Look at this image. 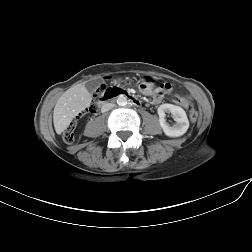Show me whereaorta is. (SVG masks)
I'll use <instances>...</instances> for the list:
<instances>
[{"instance_id":"1","label":"aorta","mask_w":252,"mask_h":252,"mask_svg":"<svg viewBox=\"0 0 252 252\" xmlns=\"http://www.w3.org/2000/svg\"><path fill=\"white\" fill-rule=\"evenodd\" d=\"M117 104L119 106H125L127 104V98L123 95H120L118 98H117Z\"/></svg>"}]
</instances>
